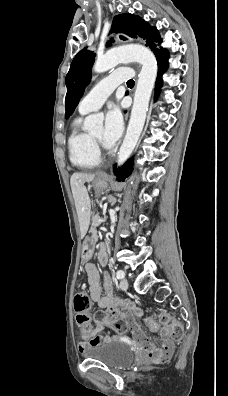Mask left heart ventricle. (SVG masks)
I'll return each instance as SVG.
<instances>
[{
    "label": "left heart ventricle",
    "mask_w": 228,
    "mask_h": 396,
    "mask_svg": "<svg viewBox=\"0 0 228 396\" xmlns=\"http://www.w3.org/2000/svg\"><path fill=\"white\" fill-rule=\"evenodd\" d=\"M103 127L98 128L96 131L93 132V135L103 141Z\"/></svg>",
    "instance_id": "b2bd125f"
}]
</instances>
